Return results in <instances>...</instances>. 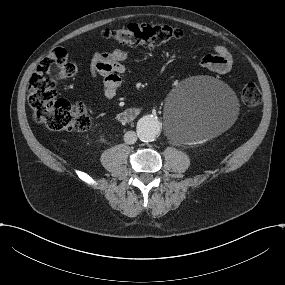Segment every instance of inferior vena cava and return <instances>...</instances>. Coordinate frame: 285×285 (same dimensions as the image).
<instances>
[{
	"label": "inferior vena cava",
	"mask_w": 285,
	"mask_h": 285,
	"mask_svg": "<svg viewBox=\"0 0 285 285\" xmlns=\"http://www.w3.org/2000/svg\"><path fill=\"white\" fill-rule=\"evenodd\" d=\"M124 141L127 144H134L137 141V134L134 131H127L124 135Z\"/></svg>",
	"instance_id": "1"
}]
</instances>
